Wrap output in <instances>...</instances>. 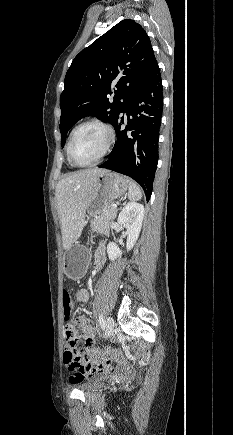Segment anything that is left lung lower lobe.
I'll return each instance as SVG.
<instances>
[{"instance_id": "left-lung-lower-lobe-1", "label": "left lung lower lobe", "mask_w": 233, "mask_h": 435, "mask_svg": "<svg viewBox=\"0 0 233 435\" xmlns=\"http://www.w3.org/2000/svg\"><path fill=\"white\" fill-rule=\"evenodd\" d=\"M162 111L161 75L156 65L122 111L128 119L126 128L121 129L124 123V116L121 115L113 124L117 141L109 154V159L99 166L137 181L143 188L147 201L152 194L158 163Z\"/></svg>"}]
</instances>
